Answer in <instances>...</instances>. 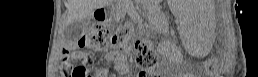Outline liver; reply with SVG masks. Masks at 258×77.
I'll return each instance as SVG.
<instances>
[{"instance_id":"6515ba94","label":"liver","mask_w":258,"mask_h":77,"mask_svg":"<svg viewBox=\"0 0 258 77\" xmlns=\"http://www.w3.org/2000/svg\"><path fill=\"white\" fill-rule=\"evenodd\" d=\"M107 3L108 0H67V23L84 20L94 9L101 8Z\"/></svg>"}]
</instances>
